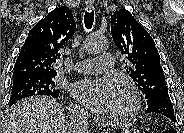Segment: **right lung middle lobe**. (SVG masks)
Masks as SVG:
<instances>
[{
  "label": "right lung middle lobe",
  "instance_id": "right-lung-middle-lobe-1",
  "mask_svg": "<svg viewBox=\"0 0 184 133\" xmlns=\"http://www.w3.org/2000/svg\"><path fill=\"white\" fill-rule=\"evenodd\" d=\"M55 76H19L13 78L10 105L35 95H48L57 98L59 90L55 87Z\"/></svg>",
  "mask_w": 184,
  "mask_h": 133
}]
</instances>
